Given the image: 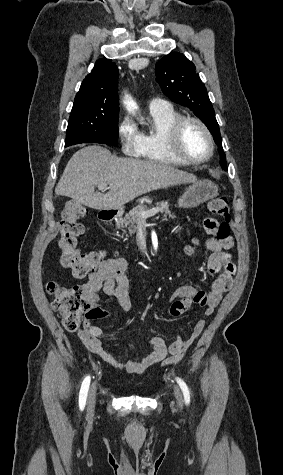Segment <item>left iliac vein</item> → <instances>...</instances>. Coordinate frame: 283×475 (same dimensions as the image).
I'll list each match as a JSON object with an SVG mask.
<instances>
[{
	"label": "left iliac vein",
	"instance_id": "1",
	"mask_svg": "<svg viewBox=\"0 0 283 475\" xmlns=\"http://www.w3.org/2000/svg\"><path fill=\"white\" fill-rule=\"evenodd\" d=\"M174 395L177 399L178 406L182 407V404H183L182 394H181V392L179 391V389L177 387L174 388Z\"/></svg>",
	"mask_w": 283,
	"mask_h": 475
}]
</instances>
